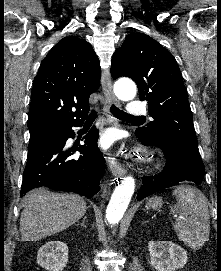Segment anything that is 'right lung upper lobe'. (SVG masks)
Returning a JSON list of instances; mask_svg holds the SVG:
<instances>
[{
	"label": "right lung upper lobe",
	"mask_w": 221,
	"mask_h": 271,
	"mask_svg": "<svg viewBox=\"0 0 221 271\" xmlns=\"http://www.w3.org/2000/svg\"><path fill=\"white\" fill-rule=\"evenodd\" d=\"M100 75L99 60L88 42L76 36L61 39L44 58L33 81L29 131L84 119Z\"/></svg>",
	"instance_id": "obj_1"
}]
</instances>
